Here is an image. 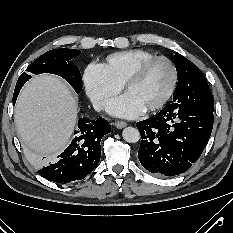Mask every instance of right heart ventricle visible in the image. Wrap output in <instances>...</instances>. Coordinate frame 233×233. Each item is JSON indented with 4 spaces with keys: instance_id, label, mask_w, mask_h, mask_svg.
Returning a JSON list of instances; mask_svg holds the SVG:
<instances>
[{
    "instance_id": "1",
    "label": "right heart ventricle",
    "mask_w": 233,
    "mask_h": 233,
    "mask_svg": "<svg viewBox=\"0 0 233 233\" xmlns=\"http://www.w3.org/2000/svg\"><path fill=\"white\" fill-rule=\"evenodd\" d=\"M155 57L144 49H129L115 52L106 58L104 64L110 76L119 84H123L127 76L142 62Z\"/></svg>"
}]
</instances>
